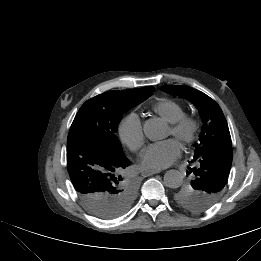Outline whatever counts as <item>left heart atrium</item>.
I'll return each mask as SVG.
<instances>
[{"mask_svg":"<svg viewBox=\"0 0 261 261\" xmlns=\"http://www.w3.org/2000/svg\"><path fill=\"white\" fill-rule=\"evenodd\" d=\"M180 154L179 142L170 138L148 145L141 154L140 164L145 169L159 170L171 165Z\"/></svg>","mask_w":261,"mask_h":261,"instance_id":"1","label":"left heart atrium"}]
</instances>
